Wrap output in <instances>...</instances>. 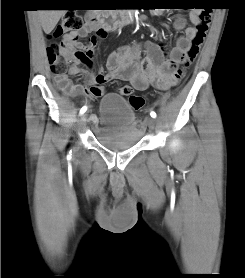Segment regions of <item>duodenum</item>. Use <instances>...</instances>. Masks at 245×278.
I'll list each match as a JSON object with an SVG mask.
<instances>
[{
	"label": "duodenum",
	"instance_id": "obj_1",
	"mask_svg": "<svg viewBox=\"0 0 245 278\" xmlns=\"http://www.w3.org/2000/svg\"><path fill=\"white\" fill-rule=\"evenodd\" d=\"M89 21L97 29H104L106 32H111L115 28L123 24L135 23V17L132 10L124 11L123 15L113 16L111 14H102L89 17ZM85 94V90H76L71 96L77 97Z\"/></svg>",
	"mask_w": 245,
	"mask_h": 278
}]
</instances>
